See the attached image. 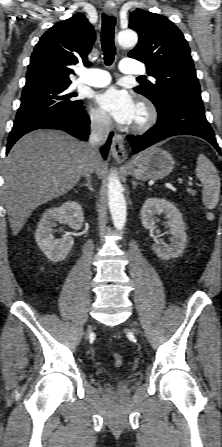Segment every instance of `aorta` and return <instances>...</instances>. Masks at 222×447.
Instances as JSON below:
<instances>
[{
  "mask_svg": "<svg viewBox=\"0 0 222 447\" xmlns=\"http://www.w3.org/2000/svg\"><path fill=\"white\" fill-rule=\"evenodd\" d=\"M118 44L122 47H132L137 44L138 36L133 30H124L117 36ZM108 205L117 230L123 229L126 223V201L123 195V186L115 172L108 178Z\"/></svg>",
  "mask_w": 222,
  "mask_h": 447,
  "instance_id": "762f6f07",
  "label": "aorta"
}]
</instances>
